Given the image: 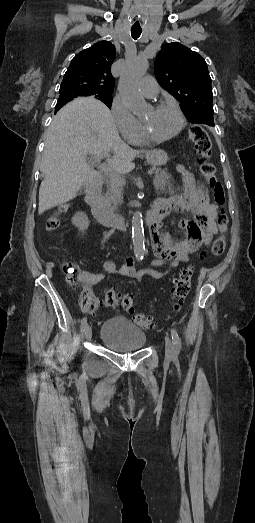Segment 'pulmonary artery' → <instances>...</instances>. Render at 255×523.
I'll list each match as a JSON object with an SVG mask.
<instances>
[{"label":"pulmonary artery","mask_w":255,"mask_h":523,"mask_svg":"<svg viewBox=\"0 0 255 523\" xmlns=\"http://www.w3.org/2000/svg\"><path fill=\"white\" fill-rule=\"evenodd\" d=\"M155 83L156 80L152 76H149L142 81L141 91L146 97H154L157 95L158 87Z\"/></svg>","instance_id":"pulmonary-artery-1"}]
</instances>
